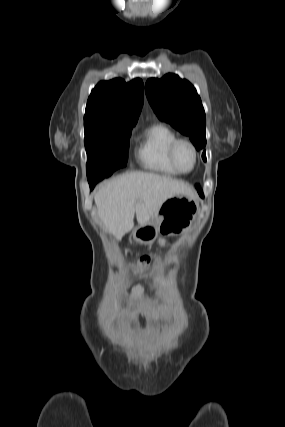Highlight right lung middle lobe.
Masks as SVG:
<instances>
[{
	"label": "right lung middle lobe",
	"mask_w": 285,
	"mask_h": 427,
	"mask_svg": "<svg viewBox=\"0 0 285 427\" xmlns=\"http://www.w3.org/2000/svg\"><path fill=\"white\" fill-rule=\"evenodd\" d=\"M130 124H88L85 128L87 178L89 182L109 177L125 167L128 159Z\"/></svg>",
	"instance_id": "obj_1"
}]
</instances>
